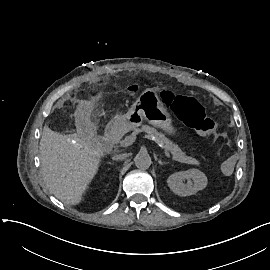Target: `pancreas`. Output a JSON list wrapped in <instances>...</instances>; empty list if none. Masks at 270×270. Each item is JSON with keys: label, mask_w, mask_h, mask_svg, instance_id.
Wrapping results in <instances>:
<instances>
[{"label": "pancreas", "mask_w": 270, "mask_h": 270, "mask_svg": "<svg viewBox=\"0 0 270 270\" xmlns=\"http://www.w3.org/2000/svg\"><path fill=\"white\" fill-rule=\"evenodd\" d=\"M146 132L149 135H153L156 138L158 143L164 145L165 149L170 151L172 154L173 160H176L181 163L187 164H195L199 165V161L195 158L187 156L185 152H183L178 145L174 144L171 140H169L163 133L158 132L155 128L149 125H143L140 129L135 128L134 133Z\"/></svg>", "instance_id": "pancreas-1"}]
</instances>
